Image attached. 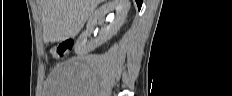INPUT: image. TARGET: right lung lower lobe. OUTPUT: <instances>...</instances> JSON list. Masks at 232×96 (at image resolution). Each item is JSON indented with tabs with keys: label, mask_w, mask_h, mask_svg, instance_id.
I'll return each mask as SVG.
<instances>
[{
	"label": "right lung lower lobe",
	"mask_w": 232,
	"mask_h": 96,
	"mask_svg": "<svg viewBox=\"0 0 232 96\" xmlns=\"http://www.w3.org/2000/svg\"><path fill=\"white\" fill-rule=\"evenodd\" d=\"M135 1H136V3H137L138 9H140V8H141V5H142L143 0H135Z\"/></svg>",
	"instance_id": "obj_1"
}]
</instances>
